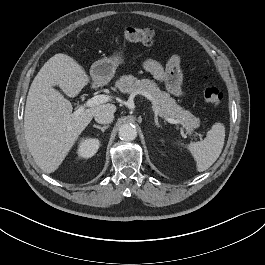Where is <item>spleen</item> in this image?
I'll use <instances>...</instances> for the list:
<instances>
[{
	"instance_id": "1",
	"label": "spleen",
	"mask_w": 265,
	"mask_h": 265,
	"mask_svg": "<svg viewBox=\"0 0 265 265\" xmlns=\"http://www.w3.org/2000/svg\"><path fill=\"white\" fill-rule=\"evenodd\" d=\"M224 139V125L215 123L203 141L191 142L188 145V149L196 161L198 172L207 170L218 159L223 149Z\"/></svg>"
}]
</instances>
